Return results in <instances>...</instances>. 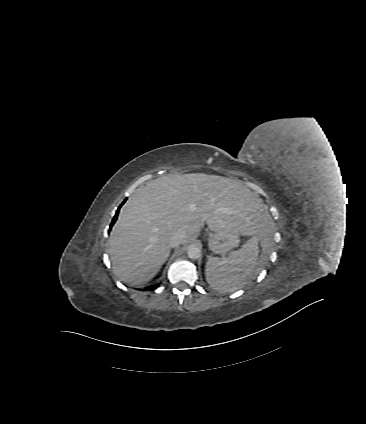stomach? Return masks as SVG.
I'll return each mask as SVG.
<instances>
[{"mask_svg": "<svg viewBox=\"0 0 366 424\" xmlns=\"http://www.w3.org/2000/svg\"><path fill=\"white\" fill-rule=\"evenodd\" d=\"M240 235L241 232L236 228L217 231L208 240V247L215 254L225 253L238 245Z\"/></svg>", "mask_w": 366, "mask_h": 424, "instance_id": "obj_1", "label": "stomach"}]
</instances>
